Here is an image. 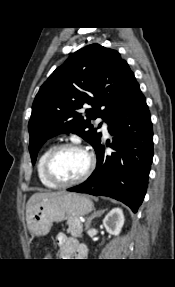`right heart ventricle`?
Masks as SVG:
<instances>
[{
    "label": "right heart ventricle",
    "mask_w": 175,
    "mask_h": 287,
    "mask_svg": "<svg viewBox=\"0 0 175 287\" xmlns=\"http://www.w3.org/2000/svg\"><path fill=\"white\" fill-rule=\"evenodd\" d=\"M54 145H49L41 152L37 161V176L40 183L47 188H55L56 186L49 182L44 175V163L49 152L54 148Z\"/></svg>",
    "instance_id": "1"
}]
</instances>
